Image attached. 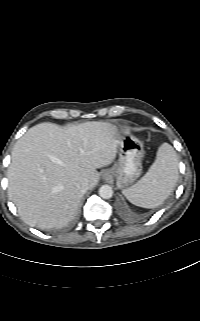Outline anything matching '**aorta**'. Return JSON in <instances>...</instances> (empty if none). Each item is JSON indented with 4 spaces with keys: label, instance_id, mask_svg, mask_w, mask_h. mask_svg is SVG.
Masks as SVG:
<instances>
[{
    "label": "aorta",
    "instance_id": "obj_1",
    "mask_svg": "<svg viewBox=\"0 0 200 321\" xmlns=\"http://www.w3.org/2000/svg\"><path fill=\"white\" fill-rule=\"evenodd\" d=\"M99 195L103 199H110L113 196V189L109 185H102L99 189Z\"/></svg>",
    "mask_w": 200,
    "mask_h": 321
}]
</instances>
